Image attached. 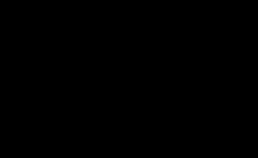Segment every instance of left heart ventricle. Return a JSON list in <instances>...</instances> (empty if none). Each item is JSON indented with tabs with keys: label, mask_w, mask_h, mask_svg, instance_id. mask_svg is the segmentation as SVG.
<instances>
[{
	"label": "left heart ventricle",
	"mask_w": 258,
	"mask_h": 158,
	"mask_svg": "<svg viewBox=\"0 0 258 158\" xmlns=\"http://www.w3.org/2000/svg\"><path fill=\"white\" fill-rule=\"evenodd\" d=\"M161 67L162 69V74L165 72V70L167 69L168 65L171 63V52L170 51H166L165 54L162 56L161 58ZM164 67V68H163Z\"/></svg>",
	"instance_id": "1"
}]
</instances>
